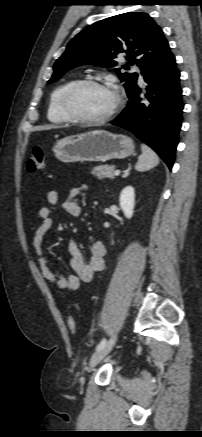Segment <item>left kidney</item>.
<instances>
[{"instance_id": "1", "label": "left kidney", "mask_w": 202, "mask_h": 437, "mask_svg": "<svg viewBox=\"0 0 202 437\" xmlns=\"http://www.w3.org/2000/svg\"><path fill=\"white\" fill-rule=\"evenodd\" d=\"M119 204L125 217L130 219L133 216L135 206V191L132 186H127L121 191Z\"/></svg>"}]
</instances>
